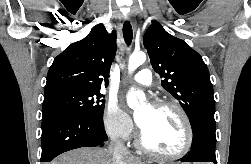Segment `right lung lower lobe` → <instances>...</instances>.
Returning <instances> with one entry per match:
<instances>
[{"label": "right lung lower lobe", "mask_w": 251, "mask_h": 164, "mask_svg": "<svg viewBox=\"0 0 251 164\" xmlns=\"http://www.w3.org/2000/svg\"><path fill=\"white\" fill-rule=\"evenodd\" d=\"M107 141L102 118L55 112L43 116L41 162H50L66 151L103 146Z\"/></svg>", "instance_id": "98d812e1"}]
</instances>
